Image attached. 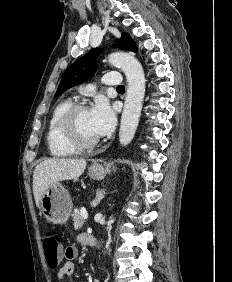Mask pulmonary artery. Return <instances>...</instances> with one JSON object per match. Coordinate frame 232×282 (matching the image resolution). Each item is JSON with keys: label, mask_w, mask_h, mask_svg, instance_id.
Masks as SVG:
<instances>
[{"label": "pulmonary artery", "mask_w": 232, "mask_h": 282, "mask_svg": "<svg viewBox=\"0 0 232 282\" xmlns=\"http://www.w3.org/2000/svg\"><path fill=\"white\" fill-rule=\"evenodd\" d=\"M103 83L109 86H119L122 84L121 75L116 71L108 72L103 77Z\"/></svg>", "instance_id": "obj_1"}]
</instances>
